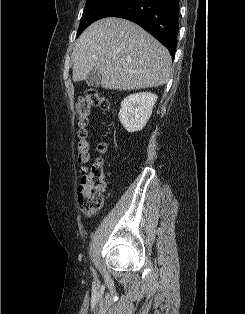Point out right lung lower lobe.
Listing matches in <instances>:
<instances>
[{
	"instance_id": "98d812e1",
	"label": "right lung lower lobe",
	"mask_w": 245,
	"mask_h": 314,
	"mask_svg": "<svg viewBox=\"0 0 245 314\" xmlns=\"http://www.w3.org/2000/svg\"><path fill=\"white\" fill-rule=\"evenodd\" d=\"M105 17L128 19L152 34L174 57L179 29L178 0H127Z\"/></svg>"
}]
</instances>
